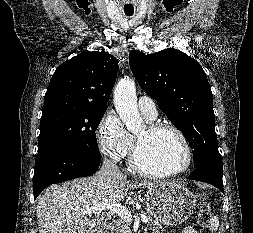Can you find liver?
Wrapping results in <instances>:
<instances>
[{
	"label": "liver",
	"mask_w": 253,
	"mask_h": 233,
	"mask_svg": "<svg viewBox=\"0 0 253 233\" xmlns=\"http://www.w3.org/2000/svg\"><path fill=\"white\" fill-rule=\"evenodd\" d=\"M167 182H136L116 176L77 178L50 186L39 197V233H85L91 222L83 211L101 203H119L129 188H152ZM88 233V232H87Z\"/></svg>",
	"instance_id": "obj_1"
}]
</instances>
